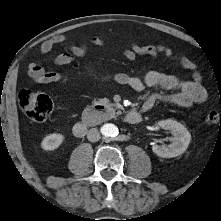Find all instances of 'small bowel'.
I'll return each instance as SVG.
<instances>
[{"instance_id": "c3829d8e", "label": "small bowel", "mask_w": 221, "mask_h": 221, "mask_svg": "<svg viewBox=\"0 0 221 221\" xmlns=\"http://www.w3.org/2000/svg\"><path fill=\"white\" fill-rule=\"evenodd\" d=\"M66 40L67 38L63 34L55 35L42 42L39 51L41 54H48L55 46L66 42ZM90 44L102 46L104 43L100 37H94L89 42H82L79 45L70 46L66 52L54 58V64L57 66L73 64L78 68L75 60L78 57L86 55ZM121 54L127 60H134L140 55H149L156 59L162 54L168 59L177 61L184 69L192 71L191 80L182 79L156 70L149 71L143 76L116 73L100 77L102 80H110L119 84L128 85L136 92L143 91L145 86L172 91L170 94L152 93L149 95L142 105L143 111L150 110L158 101L170 103L182 108H189L195 104H201L206 101L207 93L201 85V77L196 69V65L188 58L175 54L169 47L162 44L140 45L132 43L129 47L124 48ZM87 70L93 75V71L89 67H87ZM28 75L35 83L39 84L67 81L65 75L56 71H48L37 62L29 64Z\"/></svg>"}]
</instances>
